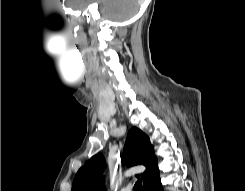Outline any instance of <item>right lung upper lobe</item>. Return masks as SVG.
Wrapping results in <instances>:
<instances>
[{"instance_id": "cb5924a9", "label": "right lung upper lobe", "mask_w": 245, "mask_h": 191, "mask_svg": "<svg viewBox=\"0 0 245 191\" xmlns=\"http://www.w3.org/2000/svg\"><path fill=\"white\" fill-rule=\"evenodd\" d=\"M122 162L126 166L142 164L146 167V170L141 174L144 187L159 177L158 163L153 146L147 135L136 127H133L128 133ZM103 167V155L93 156L78 170L71 191H106L102 186Z\"/></svg>"}]
</instances>
